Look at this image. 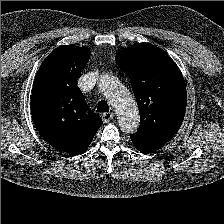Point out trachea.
Listing matches in <instances>:
<instances>
[{
  "mask_svg": "<svg viewBox=\"0 0 224 224\" xmlns=\"http://www.w3.org/2000/svg\"><path fill=\"white\" fill-rule=\"evenodd\" d=\"M97 111L98 112H108L109 111V105L106 101H101L98 105H97Z\"/></svg>",
  "mask_w": 224,
  "mask_h": 224,
  "instance_id": "3493384b",
  "label": "trachea"
}]
</instances>
